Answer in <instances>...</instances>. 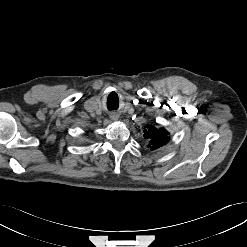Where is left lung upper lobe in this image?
<instances>
[{
    "mask_svg": "<svg viewBox=\"0 0 247 247\" xmlns=\"http://www.w3.org/2000/svg\"><path fill=\"white\" fill-rule=\"evenodd\" d=\"M144 132V138L149 141V146L152 150L167 144L169 141L168 132L164 128L156 129L153 126H149Z\"/></svg>",
    "mask_w": 247,
    "mask_h": 247,
    "instance_id": "5c2ea615",
    "label": "left lung upper lobe"
}]
</instances>
